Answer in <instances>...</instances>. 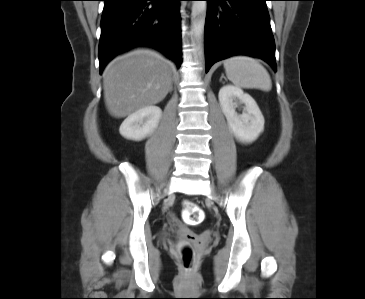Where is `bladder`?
<instances>
[{"instance_id": "obj_1", "label": "bladder", "mask_w": 365, "mask_h": 299, "mask_svg": "<svg viewBox=\"0 0 365 299\" xmlns=\"http://www.w3.org/2000/svg\"><path fill=\"white\" fill-rule=\"evenodd\" d=\"M173 232H176L175 229H170V230H167L163 235H162V238H166L168 237L170 234H172Z\"/></svg>"}]
</instances>
